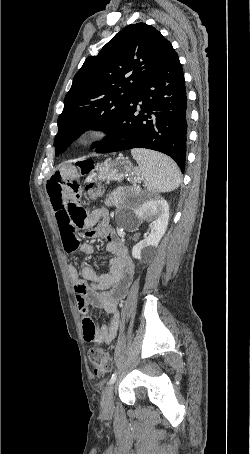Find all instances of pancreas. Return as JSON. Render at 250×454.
Returning a JSON list of instances; mask_svg holds the SVG:
<instances>
[{"label": "pancreas", "instance_id": "1", "mask_svg": "<svg viewBox=\"0 0 250 454\" xmlns=\"http://www.w3.org/2000/svg\"><path fill=\"white\" fill-rule=\"evenodd\" d=\"M105 204L108 207L120 206L122 204V199H121V194L119 193V190L114 191L111 194H109L105 200Z\"/></svg>", "mask_w": 250, "mask_h": 454}]
</instances>
